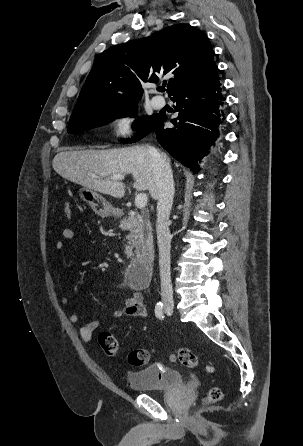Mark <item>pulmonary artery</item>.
<instances>
[{
	"label": "pulmonary artery",
	"instance_id": "e3ab8cb5",
	"mask_svg": "<svg viewBox=\"0 0 303 446\" xmlns=\"http://www.w3.org/2000/svg\"><path fill=\"white\" fill-rule=\"evenodd\" d=\"M152 105L156 109H160L165 106V100L161 96H154L152 98Z\"/></svg>",
	"mask_w": 303,
	"mask_h": 446
}]
</instances>
